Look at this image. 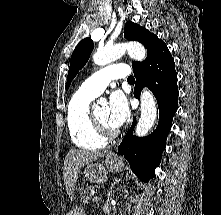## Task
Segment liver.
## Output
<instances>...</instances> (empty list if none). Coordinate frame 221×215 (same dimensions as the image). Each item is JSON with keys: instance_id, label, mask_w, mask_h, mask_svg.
<instances>
[{"instance_id": "6515ba94", "label": "liver", "mask_w": 221, "mask_h": 215, "mask_svg": "<svg viewBox=\"0 0 221 215\" xmlns=\"http://www.w3.org/2000/svg\"><path fill=\"white\" fill-rule=\"evenodd\" d=\"M106 152L70 150L65 157L63 166L64 184L69 198L73 199L75 184L77 182L80 169L89 162L104 157Z\"/></svg>"}]
</instances>
